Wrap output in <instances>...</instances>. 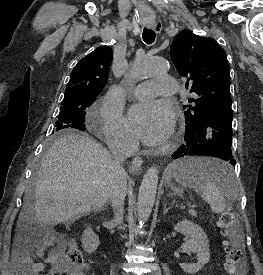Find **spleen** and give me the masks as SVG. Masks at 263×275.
Returning <instances> with one entry per match:
<instances>
[{
	"label": "spleen",
	"mask_w": 263,
	"mask_h": 275,
	"mask_svg": "<svg viewBox=\"0 0 263 275\" xmlns=\"http://www.w3.org/2000/svg\"><path fill=\"white\" fill-rule=\"evenodd\" d=\"M175 181L197 192L216 214L224 212L227 203L239 196L240 182L232 166L208 157H187L169 166Z\"/></svg>",
	"instance_id": "obj_1"
}]
</instances>
